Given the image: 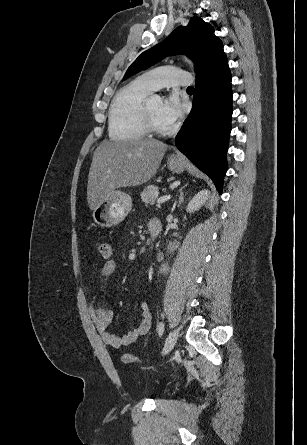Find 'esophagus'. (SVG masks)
<instances>
[{
  "label": "esophagus",
  "instance_id": "34e87169",
  "mask_svg": "<svg viewBox=\"0 0 307 445\" xmlns=\"http://www.w3.org/2000/svg\"><path fill=\"white\" fill-rule=\"evenodd\" d=\"M171 158L177 159V155H176V154H173V155L171 156Z\"/></svg>",
  "mask_w": 307,
  "mask_h": 445
}]
</instances>
